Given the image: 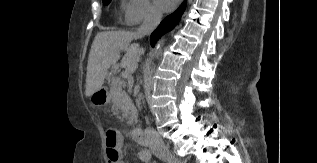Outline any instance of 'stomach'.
<instances>
[{"label": "stomach", "instance_id": "obj_1", "mask_svg": "<svg viewBox=\"0 0 317 163\" xmlns=\"http://www.w3.org/2000/svg\"><path fill=\"white\" fill-rule=\"evenodd\" d=\"M109 101V95L105 89H100L90 96V103L94 107L104 106Z\"/></svg>", "mask_w": 317, "mask_h": 163}]
</instances>
